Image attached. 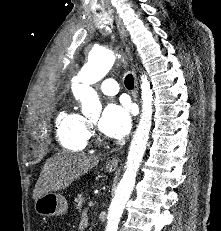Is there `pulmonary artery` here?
Segmentation results:
<instances>
[{"label": "pulmonary artery", "mask_w": 221, "mask_h": 231, "mask_svg": "<svg viewBox=\"0 0 221 231\" xmlns=\"http://www.w3.org/2000/svg\"><path fill=\"white\" fill-rule=\"evenodd\" d=\"M101 92L108 96L116 95L119 92V86L113 79L104 80L99 86Z\"/></svg>", "instance_id": "obj_1"}]
</instances>
